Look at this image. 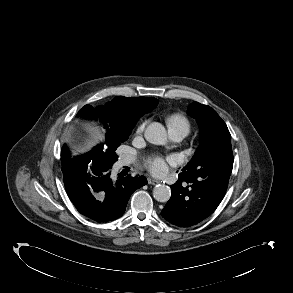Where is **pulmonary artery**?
I'll return each mask as SVG.
<instances>
[{"instance_id": "pulmonary-artery-1", "label": "pulmonary artery", "mask_w": 293, "mask_h": 293, "mask_svg": "<svg viewBox=\"0 0 293 293\" xmlns=\"http://www.w3.org/2000/svg\"><path fill=\"white\" fill-rule=\"evenodd\" d=\"M169 135L174 142H180L187 135V132L182 129H169ZM130 162V158H124L122 160L123 164H128Z\"/></svg>"}]
</instances>
